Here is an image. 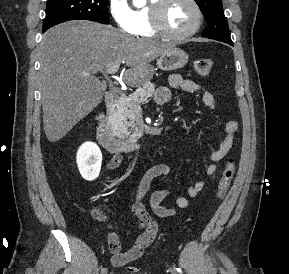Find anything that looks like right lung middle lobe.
<instances>
[{
    "mask_svg": "<svg viewBox=\"0 0 289 274\" xmlns=\"http://www.w3.org/2000/svg\"><path fill=\"white\" fill-rule=\"evenodd\" d=\"M108 0H48L43 32L50 27L69 20H91L109 24Z\"/></svg>",
    "mask_w": 289,
    "mask_h": 274,
    "instance_id": "obj_1",
    "label": "right lung middle lobe"
}]
</instances>
